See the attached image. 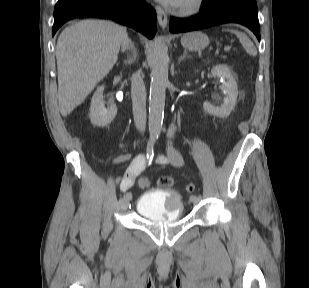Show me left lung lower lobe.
<instances>
[{
    "instance_id": "0a47b994",
    "label": "left lung lower lobe",
    "mask_w": 309,
    "mask_h": 288,
    "mask_svg": "<svg viewBox=\"0 0 309 288\" xmlns=\"http://www.w3.org/2000/svg\"><path fill=\"white\" fill-rule=\"evenodd\" d=\"M229 22L247 26L260 41L255 0H203L198 15L187 19L172 17L169 29L172 33L188 32Z\"/></svg>"
}]
</instances>
